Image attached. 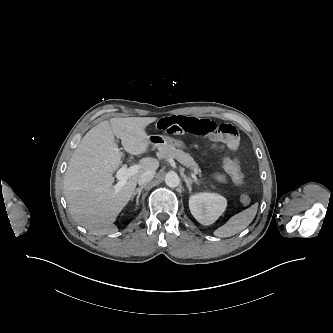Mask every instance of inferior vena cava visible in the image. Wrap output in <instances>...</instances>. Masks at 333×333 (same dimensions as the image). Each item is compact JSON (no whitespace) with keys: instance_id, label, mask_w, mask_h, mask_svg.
<instances>
[{"instance_id":"1","label":"inferior vena cava","mask_w":333,"mask_h":333,"mask_svg":"<svg viewBox=\"0 0 333 333\" xmlns=\"http://www.w3.org/2000/svg\"><path fill=\"white\" fill-rule=\"evenodd\" d=\"M155 176V171L154 170H147L144 171L139 179H138V184L139 185H145L146 183L150 182Z\"/></svg>"}]
</instances>
